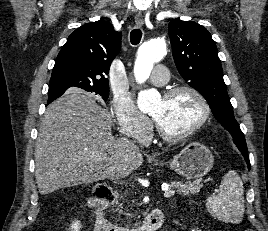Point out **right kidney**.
Instances as JSON below:
<instances>
[{
  "label": "right kidney",
  "mask_w": 268,
  "mask_h": 231,
  "mask_svg": "<svg viewBox=\"0 0 268 231\" xmlns=\"http://www.w3.org/2000/svg\"><path fill=\"white\" fill-rule=\"evenodd\" d=\"M81 225H80V221L76 220L72 223L71 225V230L72 231H80Z\"/></svg>",
  "instance_id": "1"
}]
</instances>
